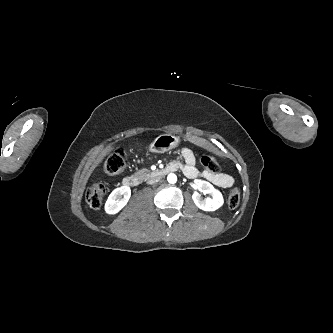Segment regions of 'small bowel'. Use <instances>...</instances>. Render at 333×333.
Returning <instances> with one entry per match:
<instances>
[{
	"mask_svg": "<svg viewBox=\"0 0 333 333\" xmlns=\"http://www.w3.org/2000/svg\"><path fill=\"white\" fill-rule=\"evenodd\" d=\"M181 155L184 160L181 162H172L177 168H181L184 174L191 179L201 176L208 182L220 188H229L233 185L234 180L232 176L226 173H211L209 171H203L201 174L195 166L196 159L193 151L189 148H183Z\"/></svg>",
	"mask_w": 333,
	"mask_h": 333,
	"instance_id": "1",
	"label": "small bowel"
}]
</instances>
